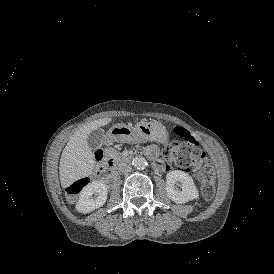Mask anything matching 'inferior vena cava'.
<instances>
[{"instance_id": "1", "label": "inferior vena cava", "mask_w": 274, "mask_h": 274, "mask_svg": "<svg viewBox=\"0 0 274 274\" xmlns=\"http://www.w3.org/2000/svg\"><path fill=\"white\" fill-rule=\"evenodd\" d=\"M119 172L122 174H127V173L131 172V165L124 164V165L120 166Z\"/></svg>"}]
</instances>
